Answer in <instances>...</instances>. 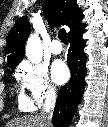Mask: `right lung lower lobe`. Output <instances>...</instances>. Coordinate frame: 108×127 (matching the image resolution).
I'll list each match as a JSON object with an SVG mask.
<instances>
[{
    "instance_id": "obj_1",
    "label": "right lung lower lobe",
    "mask_w": 108,
    "mask_h": 127,
    "mask_svg": "<svg viewBox=\"0 0 108 127\" xmlns=\"http://www.w3.org/2000/svg\"><path fill=\"white\" fill-rule=\"evenodd\" d=\"M84 30L85 25L83 24L68 34L70 47L67 61L72 78L59 91L52 119L54 127H68L81 101L86 75V54L84 53L86 42L82 38Z\"/></svg>"
}]
</instances>
